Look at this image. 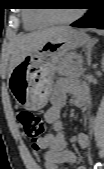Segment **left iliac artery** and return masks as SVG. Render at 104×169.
Returning a JSON list of instances; mask_svg holds the SVG:
<instances>
[{
    "label": "left iliac artery",
    "instance_id": "left-iliac-artery-1",
    "mask_svg": "<svg viewBox=\"0 0 104 169\" xmlns=\"http://www.w3.org/2000/svg\"><path fill=\"white\" fill-rule=\"evenodd\" d=\"M102 164L100 162H97L94 166V169H101Z\"/></svg>",
    "mask_w": 104,
    "mask_h": 169
}]
</instances>
